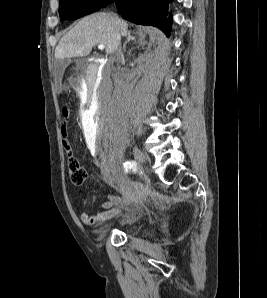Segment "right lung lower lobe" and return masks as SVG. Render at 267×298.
<instances>
[{
    "label": "right lung lower lobe",
    "instance_id": "right-lung-lower-lobe-1",
    "mask_svg": "<svg viewBox=\"0 0 267 298\" xmlns=\"http://www.w3.org/2000/svg\"><path fill=\"white\" fill-rule=\"evenodd\" d=\"M112 2L116 3L118 13L124 19L158 27L170 35L172 17L166 18L169 0H106L101 8Z\"/></svg>",
    "mask_w": 267,
    "mask_h": 298
}]
</instances>
